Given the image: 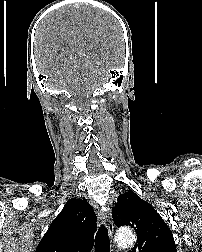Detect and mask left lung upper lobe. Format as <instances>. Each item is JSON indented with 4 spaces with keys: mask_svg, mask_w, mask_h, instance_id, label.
I'll return each mask as SVG.
<instances>
[{
    "mask_svg": "<svg viewBox=\"0 0 202 252\" xmlns=\"http://www.w3.org/2000/svg\"><path fill=\"white\" fill-rule=\"evenodd\" d=\"M112 217L117 227L129 225L137 233V243L129 252H177L173 234L161 216L133 191L118 197Z\"/></svg>",
    "mask_w": 202,
    "mask_h": 252,
    "instance_id": "left-lung-upper-lobe-1",
    "label": "left lung upper lobe"
}]
</instances>
